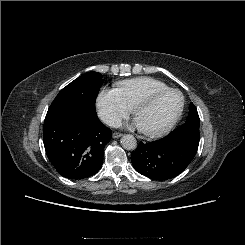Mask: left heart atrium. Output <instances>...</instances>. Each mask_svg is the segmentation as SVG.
Listing matches in <instances>:
<instances>
[{"instance_id":"left-heart-atrium-1","label":"left heart atrium","mask_w":245,"mask_h":245,"mask_svg":"<svg viewBox=\"0 0 245 245\" xmlns=\"http://www.w3.org/2000/svg\"><path fill=\"white\" fill-rule=\"evenodd\" d=\"M134 126L137 127L138 129H140V127L136 121L134 122Z\"/></svg>"}]
</instances>
